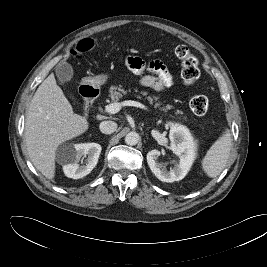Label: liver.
<instances>
[{"instance_id":"1","label":"liver","mask_w":267,"mask_h":267,"mask_svg":"<svg viewBox=\"0 0 267 267\" xmlns=\"http://www.w3.org/2000/svg\"><path fill=\"white\" fill-rule=\"evenodd\" d=\"M84 116L75 114L50 74L36 90L25 120V142L35 168L47 179L55 177L58 146L88 130Z\"/></svg>"}]
</instances>
